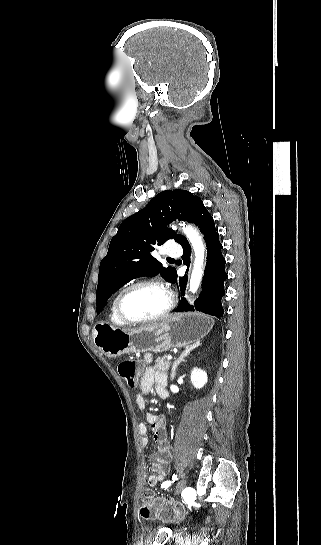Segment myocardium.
<instances>
[{
    "instance_id": "myocardium-1",
    "label": "myocardium",
    "mask_w": 321,
    "mask_h": 545,
    "mask_svg": "<svg viewBox=\"0 0 321 545\" xmlns=\"http://www.w3.org/2000/svg\"><path fill=\"white\" fill-rule=\"evenodd\" d=\"M137 288H151V289H156V290H160L164 292L168 298V305L166 309L160 314L150 318L137 320V321L129 320L122 311V299L127 292ZM174 307H175V298H174L173 292L163 283L158 281H153V280L138 281L126 286L118 293L115 300V310L119 320L121 321L122 324L129 327L143 326V325L161 321L171 313Z\"/></svg>"
}]
</instances>
